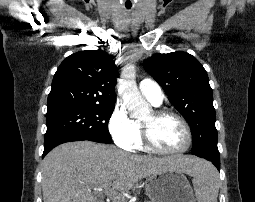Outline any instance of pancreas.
<instances>
[{"instance_id": "pancreas-1", "label": "pancreas", "mask_w": 255, "mask_h": 202, "mask_svg": "<svg viewBox=\"0 0 255 202\" xmlns=\"http://www.w3.org/2000/svg\"><path fill=\"white\" fill-rule=\"evenodd\" d=\"M114 202H126V201H125V198H124V197L119 196V197H116V198H115Z\"/></svg>"}]
</instances>
